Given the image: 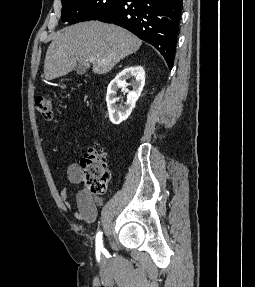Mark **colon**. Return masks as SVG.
<instances>
[{
  "instance_id": "5ec220e1",
  "label": "colon",
  "mask_w": 255,
  "mask_h": 287,
  "mask_svg": "<svg viewBox=\"0 0 255 287\" xmlns=\"http://www.w3.org/2000/svg\"><path fill=\"white\" fill-rule=\"evenodd\" d=\"M53 98L49 95L38 96L35 100L37 111L48 121H54ZM81 164L84 170V182L95 194L106 191L110 179L106 157L103 151L91 148L84 155Z\"/></svg>"
}]
</instances>
